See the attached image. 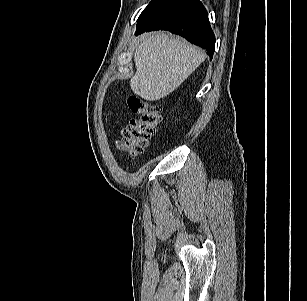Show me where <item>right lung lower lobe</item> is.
Wrapping results in <instances>:
<instances>
[{
    "instance_id": "98d812e1",
    "label": "right lung lower lobe",
    "mask_w": 307,
    "mask_h": 301,
    "mask_svg": "<svg viewBox=\"0 0 307 301\" xmlns=\"http://www.w3.org/2000/svg\"><path fill=\"white\" fill-rule=\"evenodd\" d=\"M154 30H168L181 35L206 49L211 59L213 57L215 37L207 11L199 0H168L138 21L136 35Z\"/></svg>"
}]
</instances>
